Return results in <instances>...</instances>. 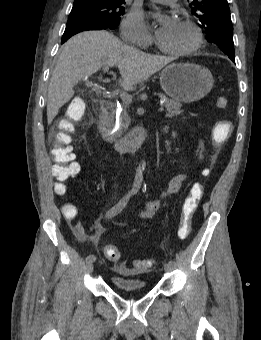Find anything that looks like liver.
Segmentation results:
<instances>
[{
    "instance_id": "liver-1",
    "label": "liver",
    "mask_w": 261,
    "mask_h": 340,
    "mask_svg": "<svg viewBox=\"0 0 261 340\" xmlns=\"http://www.w3.org/2000/svg\"><path fill=\"white\" fill-rule=\"evenodd\" d=\"M172 61L149 55L123 44L107 31H86L69 39L52 73L47 93V121L51 124L59 109L74 95V86L102 66H117L120 85L131 90Z\"/></svg>"
}]
</instances>
